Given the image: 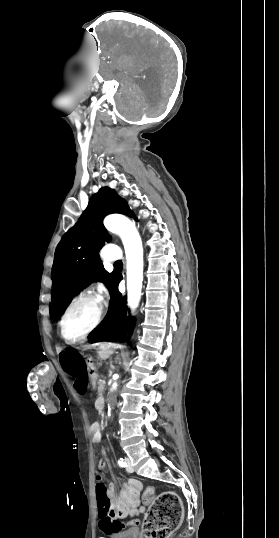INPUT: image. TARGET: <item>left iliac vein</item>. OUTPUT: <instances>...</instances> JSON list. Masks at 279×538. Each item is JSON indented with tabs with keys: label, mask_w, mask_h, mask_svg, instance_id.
Returning a JSON list of instances; mask_svg holds the SVG:
<instances>
[{
	"label": "left iliac vein",
	"mask_w": 279,
	"mask_h": 538,
	"mask_svg": "<svg viewBox=\"0 0 279 538\" xmlns=\"http://www.w3.org/2000/svg\"><path fill=\"white\" fill-rule=\"evenodd\" d=\"M125 461H126V464H127V467H126L127 472L132 473L134 471V469L132 467V463H131L130 459L125 458Z\"/></svg>",
	"instance_id": "obj_1"
}]
</instances>
